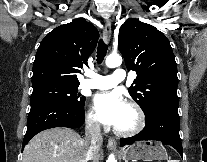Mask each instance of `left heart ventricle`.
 Instances as JSON below:
<instances>
[{
  "label": "left heart ventricle",
  "instance_id": "b2bd125f",
  "mask_svg": "<svg viewBox=\"0 0 207 162\" xmlns=\"http://www.w3.org/2000/svg\"><path fill=\"white\" fill-rule=\"evenodd\" d=\"M136 122L137 117L135 111L133 110V108L125 104L115 127L122 130H128L134 127Z\"/></svg>",
  "mask_w": 207,
  "mask_h": 162
}]
</instances>
